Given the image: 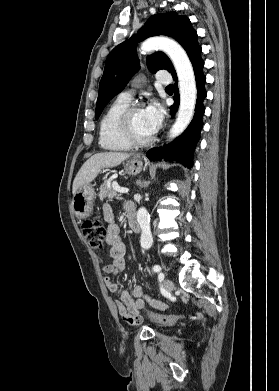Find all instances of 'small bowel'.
Listing matches in <instances>:
<instances>
[{
  "mask_svg": "<svg viewBox=\"0 0 279 391\" xmlns=\"http://www.w3.org/2000/svg\"><path fill=\"white\" fill-rule=\"evenodd\" d=\"M130 205L127 203L125 208ZM103 215L107 223L106 243L108 245V256L110 261L103 266V271L108 274L104 278L108 289L117 293L119 285L113 281L110 275L122 272L125 269L126 248L119 235V227L114 220V213L109 204L103 206ZM163 310L165 305L156 299L148 296L141 286H135L130 294L128 291L121 293L120 299L116 301V306L120 316L130 325H138L142 322V310L145 304Z\"/></svg>",
  "mask_w": 279,
  "mask_h": 391,
  "instance_id": "obj_1",
  "label": "small bowel"
}]
</instances>
